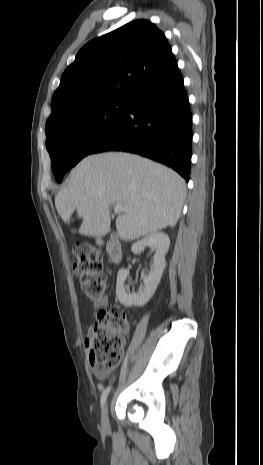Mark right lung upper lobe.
I'll list each match as a JSON object with an SVG mask.
<instances>
[{
  "label": "right lung upper lobe",
  "mask_w": 263,
  "mask_h": 465,
  "mask_svg": "<svg viewBox=\"0 0 263 465\" xmlns=\"http://www.w3.org/2000/svg\"><path fill=\"white\" fill-rule=\"evenodd\" d=\"M177 67L171 47L153 23L140 19L87 43L63 73L48 122L106 99L130 98Z\"/></svg>",
  "instance_id": "obj_1"
}]
</instances>
